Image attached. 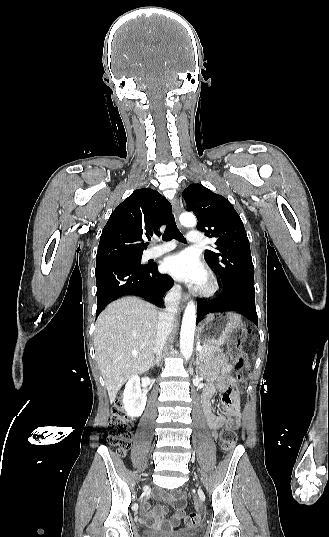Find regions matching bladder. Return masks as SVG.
I'll return each instance as SVG.
<instances>
[{
  "label": "bladder",
  "mask_w": 329,
  "mask_h": 537,
  "mask_svg": "<svg viewBox=\"0 0 329 537\" xmlns=\"http://www.w3.org/2000/svg\"><path fill=\"white\" fill-rule=\"evenodd\" d=\"M145 537H196L197 531L188 530V531H179L176 533H164L160 531L153 530H144Z\"/></svg>",
  "instance_id": "1"
}]
</instances>
